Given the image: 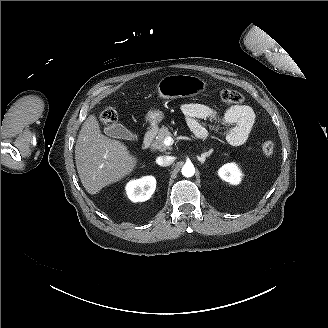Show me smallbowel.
Returning <instances> with one entry per match:
<instances>
[{"instance_id":"c3829d8e","label":"small bowel","mask_w":328,"mask_h":328,"mask_svg":"<svg viewBox=\"0 0 328 328\" xmlns=\"http://www.w3.org/2000/svg\"><path fill=\"white\" fill-rule=\"evenodd\" d=\"M181 111L190 130L200 139L207 134L200 120L219 121L222 125L229 126L226 140L233 146H240L247 141L255 122V113L248 105L231 106L222 116L212 107L201 103L183 104Z\"/></svg>"}]
</instances>
